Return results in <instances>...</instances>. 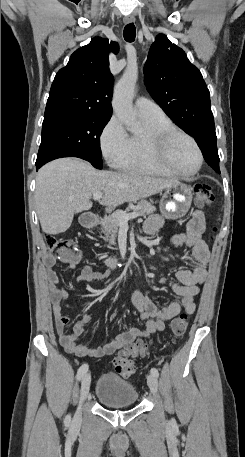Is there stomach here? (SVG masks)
I'll use <instances>...</instances> for the list:
<instances>
[{
  "instance_id": "0dacf381",
  "label": "stomach",
  "mask_w": 245,
  "mask_h": 457,
  "mask_svg": "<svg viewBox=\"0 0 245 457\" xmlns=\"http://www.w3.org/2000/svg\"><path fill=\"white\" fill-rule=\"evenodd\" d=\"M192 202L191 186L184 182H175L166 186L160 200V210L165 218H182L190 208ZM92 224V222H85Z\"/></svg>"
}]
</instances>
